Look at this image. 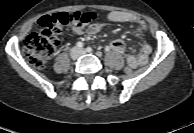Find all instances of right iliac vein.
Here are the masks:
<instances>
[{
	"label": "right iliac vein",
	"mask_w": 194,
	"mask_h": 133,
	"mask_svg": "<svg viewBox=\"0 0 194 133\" xmlns=\"http://www.w3.org/2000/svg\"><path fill=\"white\" fill-rule=\"evenodd\" d=\"M80 56V50L78 48H73L70 53V57L72 60L78 59Z\"/></svg>",
	"instance_id": "obj_1"
}]
</instances>
